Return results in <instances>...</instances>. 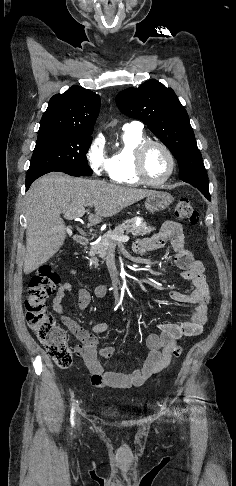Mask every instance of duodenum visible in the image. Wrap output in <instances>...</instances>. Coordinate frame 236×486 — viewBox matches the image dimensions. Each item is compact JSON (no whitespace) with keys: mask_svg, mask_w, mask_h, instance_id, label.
Here are the masks:
<instances>
[{"mask_svg":"<svg viewBox=\"0 0 236 486\" xmlns=\"http://www.w3.org/2000/svg\"><path fill=\"white\" fill-rule=\"evenodd\" d=\"M74 241L79 246H86L89 242L85 235L77 234L74 236Z\"/></svg>","mask_w":236,"mask_h":486,"instance_id":"1","label":"duodenum"}]
</instances>
